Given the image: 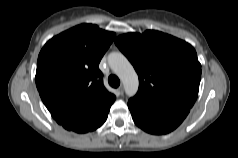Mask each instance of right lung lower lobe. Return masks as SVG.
<instances>
[{
    "instance_id": "obj_1",
    "label": "right lung lower lobe",
    "mask_w": 238,
    "mask_h": 158,
    "mask_svg": "<svg viewBox=\"0 0 238 158\" xmlns=\"http://www.w3.org/2000/svg\"><path fill=\"white\" fill-rule=\"evenodd\" d=\"M111 105L105 108L94 106L91 108L55 111L51 112V115L65 129L77 133H85L95 130L106 121Z\"/></svg>"
}]
</instances>
